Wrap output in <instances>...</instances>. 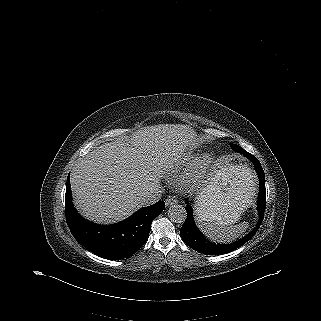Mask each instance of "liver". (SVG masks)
<instances>
[{"label":"liver","mask_w":321,"mask_h":321,"mask_svg":"<svg viewBox=\"0 0 321 321\" xmlns=\"http://www.w3.org/2000/svg\"><path fill=\"white\" fill-rule=\"evenodd\" d=\"M198 142L188 125L159 124L96 147L71 173L77 209L97 223L125 219L143 206L141 197L160 188L163 174L174 168L169 151L192 148Z\"/></svg>","instance_id":"liver-1"}]
</instances>
